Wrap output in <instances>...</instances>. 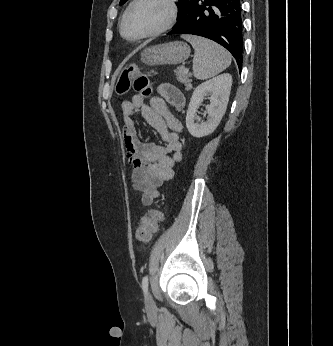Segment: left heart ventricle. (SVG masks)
<instances>
[{"instance_id":"obj_1","label":"left heart ventricle","mask_w":333,"mask_h":346,"mask_svg":"<svg viewBox=\"0 0 333 346\" xmlns=\"http://www.w3.org/2000/svg\"><path fill=\"white\" fill-rule=\"evenodd\" d=\"M169 9L163 0H141L128 14L124 30L135 37L157 30L168 19Z\"/></svg>"}]
</instances>
